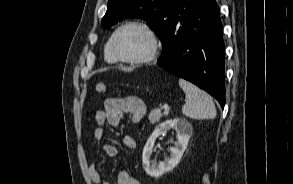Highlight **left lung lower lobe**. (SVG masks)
<instances>
[{"label":"left lung lower lobe","mask_w":293,"mask_h":184,"mask_svg":"<svg viewBox=\"0 0 293 184\" xmlns=\"http://www.w3.org/2000/svg\"><path fill=\"white\" fill-rule=\"evenodd\" d=\"M157 64L225 105L224 42L215 0H179Z\"/></svg>","instance_id":"obj_1"}]
</instances>
